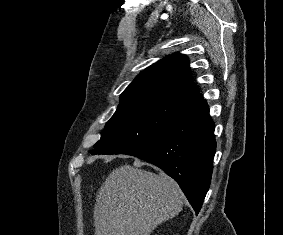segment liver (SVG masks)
Instances as JSON below:
<instances>
[{
	"mask_svg": "<svg viewBox=\"0 0 283 235\" xmlns=\"http://www.w3.org/2000/svg\"><path fill=\"white\" fill-rule=\"evenodd\" d=\"M140 165L120 166L106 178L94 208L95 235H150L182 210L179 185Z\"/></svg>",
	"mask_w": 283,
	"mask_h": 235,
	"instance_id": "6515ba94",
	"label": "liver"
}]
</instances>
